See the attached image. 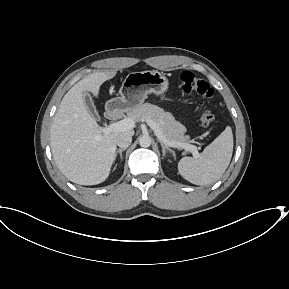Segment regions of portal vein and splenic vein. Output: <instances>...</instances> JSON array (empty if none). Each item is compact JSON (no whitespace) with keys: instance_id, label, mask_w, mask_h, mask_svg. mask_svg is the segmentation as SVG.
<instances>
[{"instance_id":"18ae733b","label":"portal vein and splenic vein","mask_w":289,"mask_h":289,"mask_svg":"<svg viewBox=\"0 0 289 289\" xmlns=\"http://www.w3.org/2000/svg\"><path fill=\"white\" fill-rule=\"evenodd\" d=\"M146 122L151 127V129L154 131L156 136L159 139H161L163 142L168 144L169 146L179 147V148L185 149L186 151H190L194 157L199 156V152H198L196 146L190 145L188 143L169 142L164 137L159 125L156 122H154L152 120H147ZM134 126H135V122L133 119L125 118V119L120 120L118 122H113V123H111L105 127H101L100 129H101L102 133L108 134L110 132H115V131H127V130L134 128Z\"/></svg>"}]
</instances>
